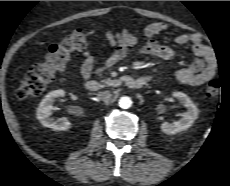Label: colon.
Listing matches in <instances>:
<instances>
[{"instance_id": "colon-1", "label": "colon", "mask_w": 230, "mask_h": 186, "mask_svg": "<svg viewBox=\"0 0 230 186\" xmlns=\"http://www.w3.org/2000/svg\"><path fill=\"white\" fill-rule=\"evenodd\" d=\"M88 43V32L79 30L51 45L46 60L33 66L21 79L17 89L18 98L41 95L54 80L55 75L66 68L72 53L85 49ZM219 92L220 84L217 80L210 81L205 89L207 98H214Z\"/></svg>"}]
</instances>
